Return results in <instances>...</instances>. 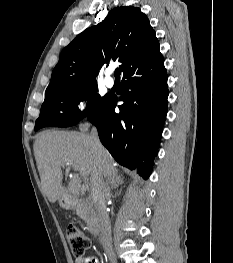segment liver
<instances>
[{
	"mask_svg": "<svg viewBox=\"0 0 233 263\" xmlns=\"http://www.w3.org/2000/svg\"><path fill=\"white\" fill-rule=\"evenodd\" d=\"M34 155L41 179V191L51 203L64 194L61 167L76 165L84 179L92 182L105 179L114 181L116 164L109 152L102 146L96 152L91 136L79 132L46 131L40 133L34 143Z\"/></svg>",
	"mask_w": 233,
	"mask_h": 263,
	"instance_id": "6515ba94",
	"label": "liver"
}]
</instances>
